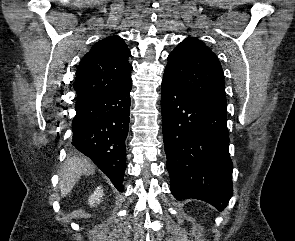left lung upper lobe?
I'll return each instance as SVG.
<instances>
[{
    "label": "left lung upper lobe",
    "mask_w": 295,
    "mask_h": 241,
    "mask_svg": "<svg viewBox=\"0 0 295 241\" xmlns=\"http://www.w3.org/2000/svg\"><path fill=\"white\" fill-rule=\"evenodd\" d=\"M164 74L185 91L227 111L224 75L217 56L196 38H186L168 56Z\"/></svg>",
    "instance_id": "5c2ea615"
}]
</instances>
